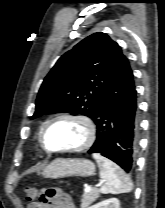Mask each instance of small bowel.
<instances>
[{
	"instance_id": "c3829d8e",
	"label": "small bowel",
	"mask_w": 165,
	"mask_h": 208,
	"mask_svg": "<svg viewBox=\"0 0 165 208\" xmlns=\"http://www.w3.org/2000/svg\"><path fill=\"white\" fill-rule=\"evenodd\" d=\"M27 208H76L71 196L60 188L43 189L39 201L31 202Z\"/></svg>"
}]
</instances>
